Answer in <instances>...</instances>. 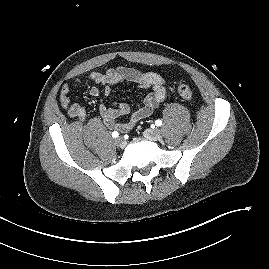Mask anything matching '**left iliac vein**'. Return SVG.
I'll use <instances>...</instances> for the list:
<instances>
[{"mask_svg":"<svg viewBox=\"0 0 269 269\" xmlns=\"http://www.w3.org/2000/svg\"><path fill=\"white\" fill-rule=\"evenodd\" d=\"M143 135L148 140L157 141L160 140L162 133L160 129L155 128L145 130Z\"/></svg>","mask_w":269,"mask_h":269,"instance_id":"1","label":"left iliac vein"}]
</instances>
